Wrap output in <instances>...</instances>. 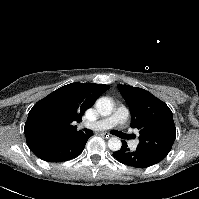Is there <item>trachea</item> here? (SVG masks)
Returning <instances> with one entry per match:
<instances>
[{"mask_svg": "<svg viewBox=\"0 0 199 199\" xmlns=\"http://www.w3.org/2000/svg\"><path fill=\"white\" fill-rule=\"evenodd\" d=\"M83 130H84L85 133H87V134H93V133H94V131L91 130V129H83ZM111 134L116 135V136H118V137H121V136H122L121 132L116 131V130L112 131Z\"/></svg>", "mask_w": 199, "mask_h": 199, "instance_id": "obj_1", "label": "trachea"}]
</instances>
